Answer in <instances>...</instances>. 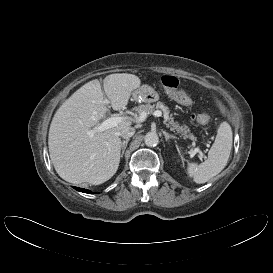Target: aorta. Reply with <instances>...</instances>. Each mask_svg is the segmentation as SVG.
Listing matches in <instances>:
<instances>
[{
  "instance_id": "aorta-1",
  "label": "aorta",
  "mask_w": 273,
  "mask_h": 273,
  "mask_svg": "<svg viewBox=\"0 0 273 273\" xmlns=\"http://www.w3.org/2000/svg\"><path fill=\"white\" fill-rule=\"evenodd\" d=\"M144 142L148 147H154L159 142V137L154 132H148L144 137Z\"/></svg>"
}]
</instances>
